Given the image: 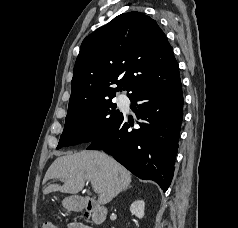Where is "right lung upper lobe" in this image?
Instances as JSON below:
<instances>
[{
    "instance_id": "right-lung-upper-lobe-1",
    "label": "right lung upper lobe",
    "mask_w": 238,
    "mask_h": 228,
    "mask_svg": "<svg viewBox=\"0 0 238 228\" xmlns=\"http://www.w3.org/2000/svg\"><path fill=\"white\" fill-rule=\"evenodd\" d=\"M176 76L178 64L157 22L143 13H124L83 40L68 111L112 100L122 89L130 98Z\"/></svg>"
}]
</instances>
